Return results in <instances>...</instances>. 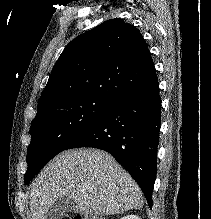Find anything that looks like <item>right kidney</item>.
<instances>
[{"label": "right kidney", "mask_w": 211, "mask_h": 219, "mask_svg": "<svg viewBox=\"0 0 211 219\" xmlns=\"http://www.w3.org/2000/svg\"><path fill=\"white\" fill-rule=\"evenodd\" d=\"M121 219H140V218L136 215H128V216L122 217Z\"/></svg>", "instance_id": "1"}]
</instances>
